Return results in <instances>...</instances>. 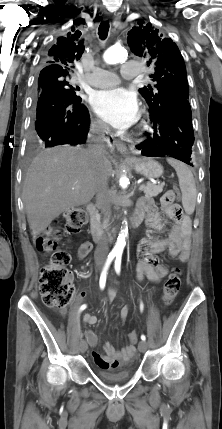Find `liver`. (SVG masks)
<instances>
[{"label":"liver","mask_w":222,"mask_h":429,"mask_svg":"<svg viewBox=\"0 0 222 429\" xmlns=\"http://www.w3.org/2000/svg\"><path fill=\"white\" fill-rule=\"evenodd\" d=\"M106 151L93 158L80 147L59 146L42 151L29 166L22 198L36 237L61 213L90 202L100 176H111Z\"/></svg>","instance_id":"1"}]
</instances>
